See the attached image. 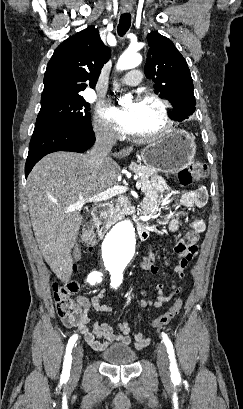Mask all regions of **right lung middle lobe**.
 Wrapping results in <instances>:
<instances>
[{
	"mask_svg": "<svg viewBox=\"0 0 243 409\" xmlns=\"http://www.w3.org/2000/svg\"><path fill=\"white\" fill-rule=\"evenodd\" d=\"M90 106L82 96L41 101L36 124L48 123L70 129L91 127Z\"/></svg>",
	"mask_w": 243,
	"mask_h": 409,
	"instance_id": "obj_1",
	"label": "right lung middle lobe"
}]
</instances>
